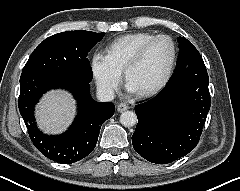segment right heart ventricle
Wrapping results in <instances>:
<instances>
[{
  "label": "right heart ventricle",
  "instance_id": "1",
  "mask_svg": "<svg viewBox=\"0 0 240 191\" xmlns=\"http://www.w3.org/2000/svg\"><path fill=\"white\" fill-rule=\"evenodd\" d=\"M153 36V33L137 32L118 37L107 46V56L120 71H123L139 48Z\"/></svg>",
  "mask_w": 240,
  "mask_h": 191
}]
</instances>
